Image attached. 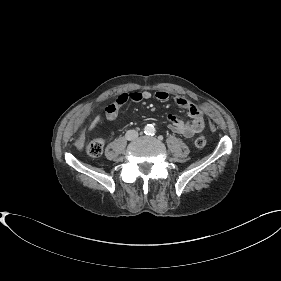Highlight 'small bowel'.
Returning <instances> with one entry per match:
<instances>
[{"instance_id": "small-bowel-1", "label": "small bowel", "mask_w": 281, "mask_h": 281, "mask_svg": "<svg viewBox=\"0 0 281 281\" xmlns=\"http://www.w3.org/2000/svg\"><path fill=\"white\" fill-rule=\"evenodd\" d=\"M169 96L170 94L166 90H158L154 94V97L159 101H165ZM151 97L152 93L148 90L121 93L114 102L106 107V117L109 120H114L117 117L119 109L128 101L141 102ZM174 102L177 106L188 111L191 120L185 122L177 118L174 114H168L167 120L169 129L186 138H191L200 133L204 129L202 109L180 95L174 97Z\"/></svg>"}]
</instances>
